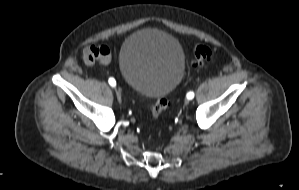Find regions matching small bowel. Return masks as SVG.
<instances>
[{
	"label": "small bowel",
	"instance_id": "1",
	"mask_svg": "<svg viewBox=\"0 0 299 190\" xmlns=\"http://www.w3.org/2000/svg\"><path fill=\"white\" fill-rule=\"evenodd\" d=\"M84 59L87 63L99 61L103 64H110L112 54L106 46H89L84 52Z\"/></svg>",
	"mask_w": 299,
	"mask_h": 190
}]
</instances>
